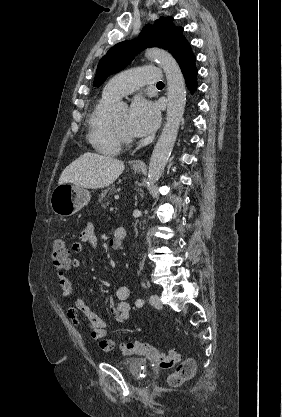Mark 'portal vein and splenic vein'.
I'll list each match as a JSON object with an SVG mask.
<instances>
[{"mask_svg": "<svg viewBox=\"0 0 282 417\" xmlns=\"http://www.w3.org/2000/svg\"><path fill=\"white\" fill-rule=\"evenodd\" d=\"M117 199H118V200H121V199H122V196H121V195H118V196H117Z\"/></svg>", "mask_w": 282, "mask_h": 417, "instance_id": "obj_1", "label": "portal vein and splenic vein"}]
</instances>
